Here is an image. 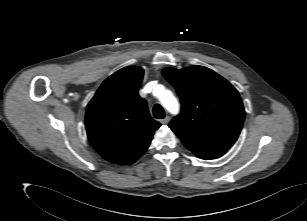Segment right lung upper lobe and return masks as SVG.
<instances>
[{"mask_svg":"<svg viewBox=\"0 0 307 221\" xmlns=\"http://www.w3.org/2000/svg\"><path fill=\"white\" fill-rule=\"evenodd\" d=\"M142 77L141 67L122 68L102 83L87 106L88 138L109 162L134 163L161 126L152 119L146 101L138 94Z\"/></svg>","mask_w":307,"mask_h":221,"instance_id":"obj_1","label":"right lung upper lobe"}]
</instances>
